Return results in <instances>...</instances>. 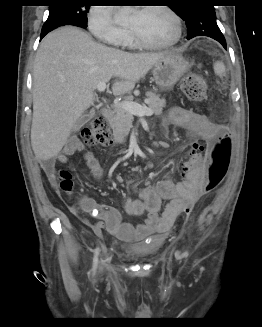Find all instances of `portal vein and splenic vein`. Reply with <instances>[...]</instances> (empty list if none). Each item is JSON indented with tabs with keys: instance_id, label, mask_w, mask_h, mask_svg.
<instances>
[{
	"instance_id": "portal-vein-and-splenic-vein-1",
	"label": "portal vein and splenic vein",
	"mask_w": 262,
	"mask_h": 327,
	"mask_svg": "<svg viewBox=\"0 0 262 327\" xmlns=\"http://www.w3.org/2000/svg\"><path fill=\"white\" fill-rule=\"evenodd\" d=\"M106 89V83L105 82H101L97 85V90L99 92H104ZM119 107L126 110L127 112L133 114V115H137V116H151L153 115V110L146 107V106H142L136 102L133 101H124L119 103Z\"/></svg>"
}]
</instances>
